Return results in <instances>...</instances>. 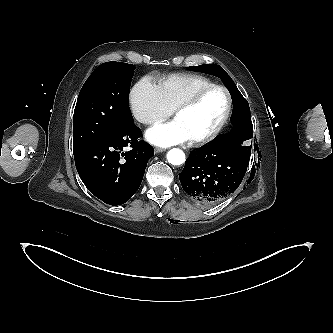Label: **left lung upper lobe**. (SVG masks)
Here are the masks:
<instances>
[{
  "label": "left lung upper lobe",
  "mask_w": 333,
  "mask_h": 333,
  "mask_svg": "<svg viewBox=\"0 0 333 333\" xmlns=\"http://www.w3.org/2000/svg\"><path fill=\"white\" fill-rule=\"evenodd\" d=\"M187 69L190 71L209 73V74L219 77L223 81L225 86L228 88V90L230 91L233 103L241 102V103L245 104L246 107L248 106L247 101L244 99L242 94L239 92V90L237 89V87L234 84L231 77L219 65L204 64V65H199V66H191V67H188ZM236 137H241L240 145L238 146L239 150L245 156H248L250 158L251 146H243V144H242V142L247 140L248 137L243 136L239 133H234V129L229 134H223V135L219 136L215 141L224 140V139L230 140V139H233Z\"/></svg>",
  "instance_id": "5c2ea615"
}]
</instances>
